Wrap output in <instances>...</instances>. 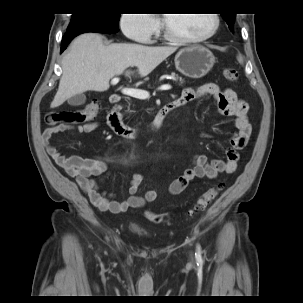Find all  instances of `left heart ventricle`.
Returning a JSON list of instances; mask_svg holds the SVG:
<instances>
[{
  "mask_svg": "<svg viewBox=\"0 0 303 303\" xmlns=\"http://www.w3.org/2000/svg\"><path fill=\"white\" fill-rule=\"evenodd\" d=\"M170 28L187 37L201 36L213 26L211 14H166Z\"/></svg>",
  "mask_w": 303,
  "mask_h": 303,
  "instance_id": "1",
  "label": "left heart ventricle"
}]
</instances>
